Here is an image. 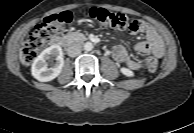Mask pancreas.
Listing matches in <instances>:
<instances>
[{
    "instance_id": "cf45deb5",
    "label": "pancreas",
    "mask_w": 194,
    "mask_h": 133,
    "mask_svg": "<svg viewBox=\"0 0 194 133\" xmlns=\"http://www.w3.org/2000/svg\"><path fill=\"white\" fill-rule=\"evenodd\" d=\"M82 37H84V35L81 34V33H78V32H69L66 35V38L69 39V40H78Z\"/></svg>"
}]
</instances>
